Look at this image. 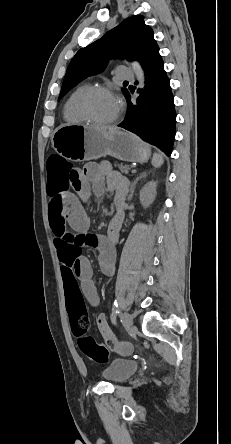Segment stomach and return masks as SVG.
I'll return each mask as SVG.
<instances>
[{
	"label": "stomach",
	"mask_w": 231,
	"mask_h": 444,
	"mask_svg": "<svg viewBox=\"0 0 231 444\" xmlns=\"http://www.w3.org/2000/svg\"><path fill=\"white\" fill-rule=\"evenodd\" d=\"M51 142L62 157L75 161L110 155L123 161L145 162L151 154L145 143L128 132H102L80 124L60 125L54 131Z\"/></svg>",
	"instance_id": "1"
}]
</instances>
